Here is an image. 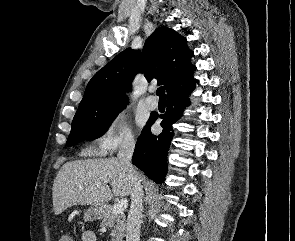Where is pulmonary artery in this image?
<instances>
[{
	"label": "pulmonary artery",
	"instance_id": "1",
	"mask_svg": "<svg viewBox=\"0 0 295 241\" xmlns=\"http://www.w3.org/2000/svg\"><path fill=\"white\" fill-rule=\"evenodd\" d=\"M145 104L150 110H154L158 106V102L153 96H148L145 100Z\"/></svg>",
	"mask_w": 295,
	"mask_h": 241
}]
</instances>
